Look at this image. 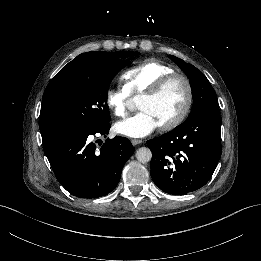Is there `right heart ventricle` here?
Segmentation results:
<instances>
[{"label": "right heart ventricle", "instance_id": "obj_1", "mask_svg": "<svg viewBox=\"0 0 261 261\" xmlns=\"http://www.w3.org/2000/svg\"><path fill=\"white\" fill-rule=\"evenodd\" d=\"M172 72H175L174 69L166 62L146 59L123 73V90L130 98L140 97L148 93L164 75Z\"/></svg>", "mask_w": 261, "mask_h": 261}]
</instances>
